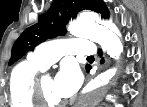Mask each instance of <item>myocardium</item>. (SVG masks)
I'll list each match as a JSON object with an SVG mask.
<instances>
[{"mask_svg":"<svg viewBox=\"0 0 147 107\" xmlns=\"http://www.w3.org/2000/svg\"><path fill=\"white\" fill-rule=\"evenodd\" d=\"M44 76L37 77L34 80L32 87V101L36 107H62L65 104V101L61 102H49L43 93L42 89V80Z\"/></svg>","mask_w":147,"mask_h":107,"instance_id":"f54148a6","label":"myocardium"}]
</instances>
